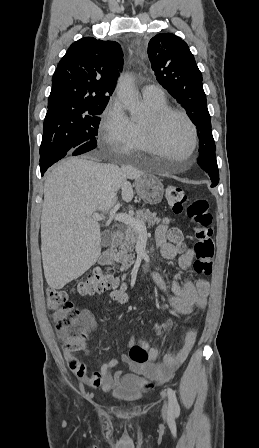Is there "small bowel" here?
I'll return each instance as SVG.
<instances>
[{
    "label": "small bowel",
    "instance_id": "1",
    "mask_svg": "<svg viewBox=\"0 0 259 448\" xmlns=\"http://www.w3.org/2000/svg\"><path fill=\"white\" fill-rule=\"evenodd\" d=\"M167 231L168 226L166 224L159 225L155 231V243L165 260H173L178 256L182 247L167 240ZM194 257L193 248L184 250L178 257L180 268L190 271ZM152 278L162 291H167V284L158 272H152ZM171 291L173 295L168 298L169 306L179 314L189 315L196 309L207 307L210 285L204 278H198L196 281L185 279L182 283L172 280ZM111 300L126 304L129 301V296L125 292H113L111 293ZM171 326V319H167L162 324H156L153 330L157 335H162ZM196 337V330L189 329L185 334L183 345L177 350H168L161 363H158L159 352L156 348L148 350V360L143 364L135 363L130 360L127 354H122V360L128 363L131 372L116 370L117 360L110 359L101 365L99 371L89 373L84 363L76 358L72 352L66 350L65 358L71 371L87 385L99 387L104 391H109L115 387L147 391L153 387L154 383H164L172 377L175 370L188 357L196 342ZM133 345L134 340L131 339L128 348Z\"/></svg>",
    "mask_w": 259,
    "mask_h": 448
}]
</instances>
